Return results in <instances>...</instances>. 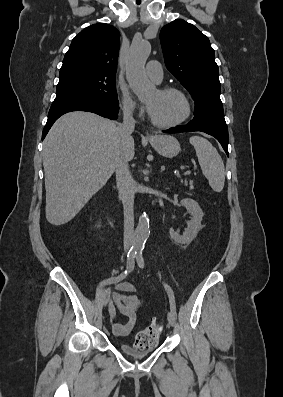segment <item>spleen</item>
Returning a JSON list of instances; mask_svg holds the SVG:
<instances>
[{
	"instance_id": "spleen-1",
	"label": "spleen",
	"mask_w": 283,
	"mask_h": 397,
	"mask_svg": "<svg viewBox=\"0 0 283 397\" xmlns=\"http://www.w3.org/2000/svg\"><path fill=\"white\" fill-rule=\"evenodd\" d=\"M190 143L194 146L203 175L215 192H221L225 182V168L216 148L205 138L193 136Z\"/></svg>"
}]
</instances>
